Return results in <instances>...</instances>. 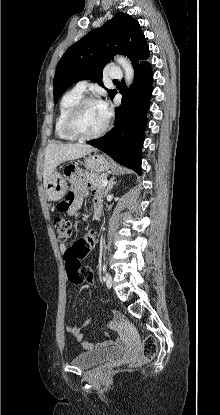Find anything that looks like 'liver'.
I'll return each mask as SVG.
<instances>
[{
    "label": "liver",
    "mask_w": 220,
    "mask_h": 415,
    "mask_svg": "<svg viewBox=\"0 0 220 415\" xmlns=\"http://www.w3.org/2000/svg\"><path fill=\"white\" fill-rule=\"evenodd\" d=\"M96 149L87 144L81 143H50L45 150L43 182L46 187L49 178L54 170L62 162L79 159Z\"/></svg>",
    "instance_id": "obj_1"
}]
</instances>
